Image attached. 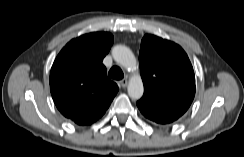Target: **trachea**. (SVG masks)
I'll return each mask as SVG.
<instances>
[{
	"label": "trachea",
	"mask_w": 244,
	"mask_h": 157,
	"mask_svg": "<svg viewBox=\"0 0 244 157\" xmlns=\"http://www.w3.org/2000/svg\"><path fill=\"white\" fill-rule=\"evenodd\" d=\"M108 75L114 80H121L124 77L123 71L117 66L112 67Z\"/></svg>",
	"instance_id": "1"
}]
</instances>
